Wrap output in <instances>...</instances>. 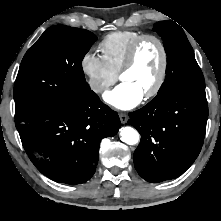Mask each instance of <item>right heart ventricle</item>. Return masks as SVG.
Segmentation results:
<instances>
[{"mask_svg": "<svg viewBox=\"0 0 221 221\" xmlns=\"http://www.w3.org/2000/svg\"><path fill=\"white\" fill-rule=\"evenodd\" d=\"M141 35V32L134 30L115 31L99 43L103 59L115 74L119 73L129 47Z\"/></svg>", "mask_w": 221, "mask_h": 221, "instance_id": "right-heart-ventricle-1", "label": "right heart ventricle"}]
</instances>
